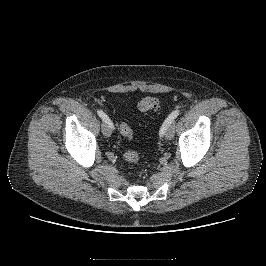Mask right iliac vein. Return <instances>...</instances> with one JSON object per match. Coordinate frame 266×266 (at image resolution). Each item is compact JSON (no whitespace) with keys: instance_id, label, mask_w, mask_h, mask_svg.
Segmentation results:
<instances>
[{"instance_id":"63e3f726","label":"right iliac vein","mask_w":266,"mask_h":266,"mask_svg":"<svg viewBox=\"0 0 266 266\" xmlns=\"http://www.w3.org/2000/svg\"><path fill=\"white\" fill-rule=\"evenodd\" d=\"M101 129L104 136L110 137L111 127L107 123H103Z\"/></svg>"}]
</instances>
